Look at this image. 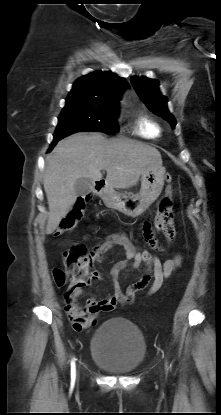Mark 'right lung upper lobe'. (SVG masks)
Wrapping results in <instances>:
<instances>
[{
	"label": "right lung upper lobe",
	"mask_w": 221,
	"mask_h": 415,
	"mask_svg": "<svg viewBox=\"0 0 221 415\" xmlns=\"http://www.w3.org/2000/svg\"><path fill=\"white\" fill-rule=\"evenodd\" d=\"M128 82L112 72L97 71L78 78L66 100H87L118 104L121 91Z\"/></svg>",
	"instance_id": "right-lung-upper-lobe-1"
}]
</instances>
